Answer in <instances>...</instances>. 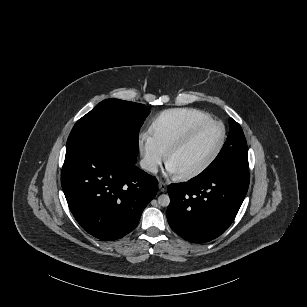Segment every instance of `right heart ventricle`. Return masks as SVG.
Instances as JSON below:
<instances>
[{
  "mask_svg": "<svg viewBox=\"0 0 307 307\" xmlns=\"http://www.w3.org/2000/svg\"><path fill=\"white\" fill-rule=\"evenodd\" d=\"M211 117L197 109H169L161 112L149 126V133L163 152L184 139Z\"/></svg>",
  "mask_w": 307,
  "mask_h": 307,
  "instance_id": "1",
  "label": "right heart ventricle"
}]
</instances>
